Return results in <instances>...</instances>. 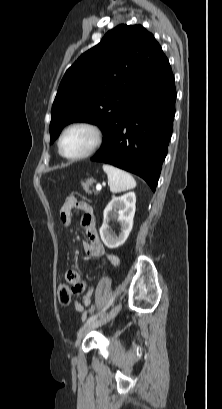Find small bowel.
<instances>
[{"label":"small bowel","instance_id":"obj_1","mask_svg":"<svg viewBox=\"0 0 222 409\" xmlns=\"http://www.w3.org/2000/svg\"><path fill=\"white\" fill-rule=\"evenodd\" d=\"M77 209L81 212L79 224L84 230L86 239L83 241V249L85 253L93 258L106 256L107 260L113 265L117 266L120 263L119 258L110 253H106L105 248L99 238L97 228L94 220V211L92 206L86 201H78L74 196H68L65 200L61 211V219L65 226L69 227L72 224V212ZM64 280L71 284V294L73 297H82L84 294L85 283L79 280L77 271L75 269H68ZM94 289L90 288L82 297L81 301L74 302V309L76 312L82 313V319L87 317V310L91 306Z\"/></svg>","mask_w":222,"mask_h":409}]
</instances>
